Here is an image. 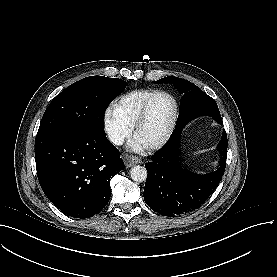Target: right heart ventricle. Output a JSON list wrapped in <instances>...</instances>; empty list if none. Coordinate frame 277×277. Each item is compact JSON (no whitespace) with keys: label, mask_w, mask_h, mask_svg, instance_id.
<instances>
[{"label":"right heart ventricle","mask_w":277,"mask_h":277,"mask_svg":"<svg viewBox=\"0 0 277 277\" xmlns=\"http://www.w3.org/2000/svg\"><path fill=\"white\" fill-rule=\"evenodd\" d=\"M152 94L153 91L143 89L130 92L116 103V109L121 113L123 119L131 124L137 119Z\"/></svg>","instance_id":"e07e8e85"}]
</instances>
